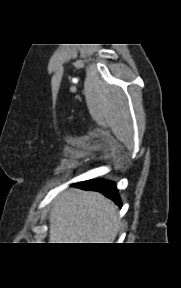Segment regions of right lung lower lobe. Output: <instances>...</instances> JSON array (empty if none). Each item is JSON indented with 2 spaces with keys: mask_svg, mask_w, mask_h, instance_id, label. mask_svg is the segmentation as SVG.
Returning a JSON list of instances; mask_svg holds the SVG:
<instances>
[{
  "mask_svg": "<svg viewBox=\"0 0 181 288\" xmlns=\"http://www.w3.org/2000/svg\"><path fill=\"white\" fill-rule=\"evenodd\" d=\"M77 186L81 189L101 192L106 197L117 203L120 207L122 206L121 199L118 195V190L114 182L96 179L79 182L77 183Z\"/></svg>",
  "mask_w": 181,
  "mask_h": 288,
  "instance_id": "1",
  "label": "right lung lower lobe"
}]
</instances>
